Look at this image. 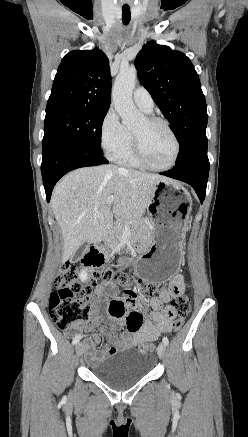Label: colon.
<instances>
[{"label": "colon", "instance_id": "1", "mask_svg": "<svg viewBox=\"0 0 248 437\" xmlns=\"http://www.w3.org/2000/svg\"><path fill=\"white\" fill-rule=\"evenodd\" d=\"M84 264L91 269V284L97 280L116 281L127 290L147 297H153L163 289L161 286H146L145 281L139 278L114 271L105 266L103 256H97L89 261L84 257ZM89 293L90 285H84L79 281L76 265L66 263L56 276L54 290L49 298L50 317L59 329H68L91 320L92 312L86 299ZM189 312L190 299L182 293L174 295L169 306V314L176 317L172 323L175 332L182 328ZM139 349L146 353L152 352L154 345L143 343Z\"/></svg>", "mask_w": 248, "mask_h": 437}]
</instances>
